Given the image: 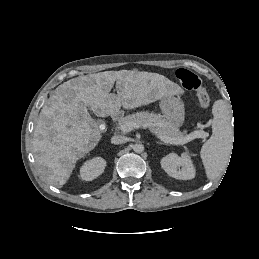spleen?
<instances>
[{
	"mask_svg": "<svg viewBox=\"0 0 259 259\" xmlns=\"http://www.w3.org/2000/svg\"><path fill=\"white\" fill-rule=\"evenodd\" d=\"M212 136L201 148L200 156L209 180L217 178L225 169L232 150L233 128L229 107L223 100L214 102Z\"/></svg>",
	"mask_w": 259,
	"mask_h": 259,
	"instance_id": "spleen-1",
	"label": "spleen"
}]
</instances>
